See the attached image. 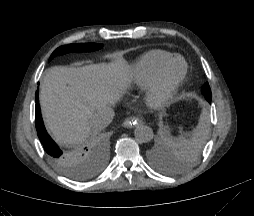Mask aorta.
Wrapping results in <instances>:
<instances>
[{
	"label": "aorta",
	"instance_id": "obj_1",
	"mask_svg": "<svg viewBox=\"0 0 254 216\" xmlns=\"http://www.w3.org/2000/svg\"><path fill=\"white\" fill-rule=\"evenodd\" d=\"M135 139L140 143H148L153 139V130L147 125H138L134 130Z\"/></svg>",
	"mask_w": 254,
	"mask_h": 216
}]
</instances>
